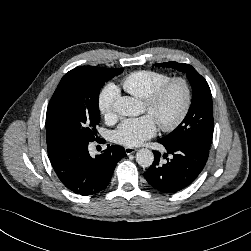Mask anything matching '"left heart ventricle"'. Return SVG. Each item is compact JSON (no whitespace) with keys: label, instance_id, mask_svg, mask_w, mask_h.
<instances>
[{"label":"left heart ventricle","instance_id":"obj_1","mask_svg":"<svg viewBox=\"0 0 251 251\" xmlns=\"http://www.w3.org/2000/svg\"><path fill=\"white\" fill-rule=\"evenodd\" d=\"M184 100V93L180 86H174L162 98L160 103L151 112H146L158 124L171 122L179 113Z\"/></svg>","mask_w":251,"mask_h":251}]
</instances>
